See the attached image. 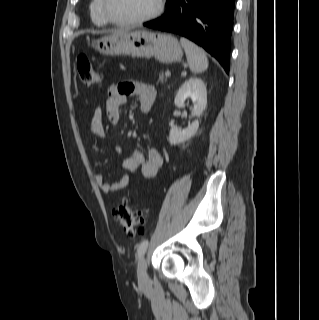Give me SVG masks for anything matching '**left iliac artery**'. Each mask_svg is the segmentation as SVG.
Masks as SVG:
<instances>
[{"label":"left iliac artery","instance_id":"obj_1","mask_svg":"<svg viewBox=\"0 0 319 320\" xmlns=\"http://www.w3.org/2000/svg\"><path fill=\"white\" fill-rule=\"evenodd\" d=\"M148 244H149V241L148 240H144L138 246L137 253H138V256L140 258L145 254V252L147 250V247H148Z\"/></svg>","mask_w":319,"mask_h":320}]
</instances>
